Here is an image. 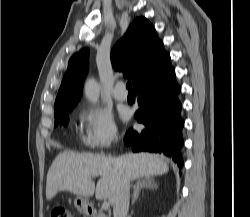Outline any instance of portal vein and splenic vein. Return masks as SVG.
<instances>
[{
  "label": "portal vein and splenic vein",
  "instance_id": "portal-vein-and-splenic-vein-1",
  "mask_svg": "<svg viewBox=\"0 0 250 217\" xmlns=\"http://www.w3.org/2000/svg\"><path fill=\"white\" fill-rule=\"evenodd\" d=\"M109 202H107V201H104L103 203H102V209H104V210H107L108 208H109Z\"/></svg>",
  "mask_w": 250,
  "mask_h": 217
}]
</instances>
